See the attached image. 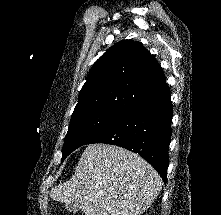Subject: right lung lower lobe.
Wrapping results in <instances>:
<instances>
[{"mask_svg": "<svg viewBox=\"0 0 221 215\" xmlns=\"http://www.w3.org/2000/svg\"><path fill=\"white\" fill-rule=\"evenodd\" d=\"M173 116L167 86L120 116L87 144L105 143L133 151L149 162L167 182L168 147Z\"/></svg>", "mask_w": 221, "mask_h": 215, "instance_id": "obj_1", "label": "right lung lower lobe"}]
</instances>
